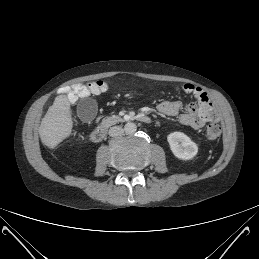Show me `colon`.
I'll return each instance as SVG.
<instances>
[{
    "mask_svg": "<svg viewBox=\"0 0 259 259\" xmlns=\"http://www.w3.org/2000/svg\"><path fill=\"white\" fill-rule=\"evenodd\" d=\"M107 89V84L102 80H97L88 83H79L73 85L71 87L65 88L64 92L71 101H75L78 97H85L89 94H99ZM183 90L187 93H193L195 97L199 98L201 101H204L206 104V111L208 113H213V109L211 104L208 100V92L204 91L202 88L197 87L195 88L193 85L186 84L183 86ZM221 134L220 126L215 123L211 122L205 130V136L208 140H216L219 138Z\"/></svg>",
    "mask_w": 259,
    "mask_h": 259,
    "instance_id": "5ec220e1",
    "label": "colon"
}]
</instances>
